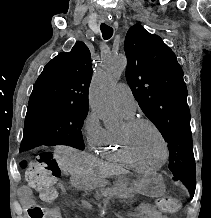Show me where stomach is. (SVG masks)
I'll return each instance as SVG.
<instances>
[{"mask_svg":"<svg viewBox=\"0 0 211 218\" xmlns=\"http://www.w3.org/2000/svg\"><path fill=\"white\" fill-rule=\"evenodd\" d=\"M74 183L85 189H96L108 185L107 180L99 176H94L93 174L75 175ZM120 184L123 186H130L134 191L150 197H158L163 195L165 192L164 180L162 176L157 174L133 181L122 177Z\"/></svg>","mask_w":211,"mask_h":218,"instance_id":"0dacf381","label":"stomach"}]
</instances>
